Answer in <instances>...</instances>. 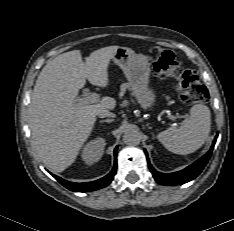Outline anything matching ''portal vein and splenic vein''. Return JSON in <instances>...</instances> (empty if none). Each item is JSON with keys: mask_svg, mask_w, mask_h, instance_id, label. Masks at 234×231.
Returning a JSON list of instances; mask_svg holds the SVG:
<instances>
[{"mask_svg": "<svg viewBox=\"0 0 234 231\" xmlns=\"http://www.w3.org/2000/svg\"><path fill=\"white\" fill-rule=\"evenodd\" d=\"M99 102V96L96 93H91L89 96L79 99L80 104H92ZM169 119L176 121L177 116L170 115ZM172 126H177L176 123H173Z\"/></svg>", "mask_w": 234, "mask_h": 231, "instance_id": "18ae733b", "label": "portal vein and splenic vein"}]
</instances>
